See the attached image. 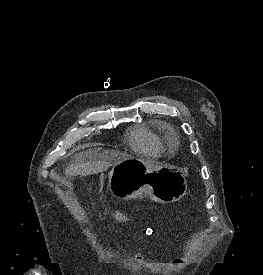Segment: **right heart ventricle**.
<instances>
[{"label": "right heart ventricle", "mask_w": 263, "mask_h": 275, "mask_svg": "<svg viewBox=\"0 0 263 275\" xmlns=\"http://www.w3.org/2000/svg\"><path fill=\"white\" fill-rule=\"evenodd\" d=\"M130 141L135 149L142 152H151L156 150L158 147L156 137L142 128L133 131Z\"/></svg>", "instance_id": "obj_1"}]
</instances>
